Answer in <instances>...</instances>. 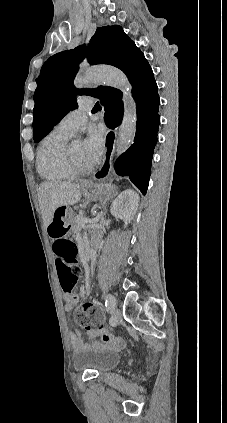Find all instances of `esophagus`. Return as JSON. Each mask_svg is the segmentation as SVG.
I'll return each instance as SVG.
<instances>
[{
    "label": "esophagus",
    "mask_w": 227,
    "mask_h": 423,
    "mask_svg": "<svg viewBox=\"0 0 227 423\" xmlns=\"http://www.w3.org/2000/svg\"><path fill=\"white\" fill-rule=\"evenodd\" d=\"M116 135L114 136V130H109V134L105 138V152L102 164L97 173L94 174L93 179L96 181H102L107 178L112 170V160L114 154Z\"/></svg>",
    "instance_id": "esophagus-1"
}]
</instances>
